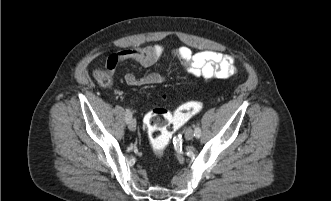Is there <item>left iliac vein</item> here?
I'll return each instance as SVG.
<instances>
[{
  "mask_svg": "<svg viewBox=\"0 0 331 201\" xmlns=\"http://www.w3.org/2000/svg\"><path fill=\"white\" fill-rule=\"evenodd\" d=\"M193 137H194V130L191 127L187 128L185 131V139L191 140L193 139Z\"/></svg>",
  "mask_w": 331,
  "mask_h": 201,
  "instance_id": "4c4485c4",
  "label": "left iliac vein"
}]
</instances>
